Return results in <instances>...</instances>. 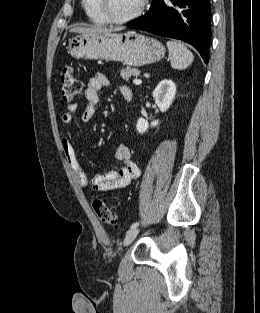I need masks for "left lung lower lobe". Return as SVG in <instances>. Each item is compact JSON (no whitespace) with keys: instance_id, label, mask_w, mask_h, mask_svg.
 Masks as SVG:
<instances>
[{"instance_id":"obj_1","label":"left lung lower lobe","mask_w":260,"mask_h":313,"mask_svg":"<svg viewBox=\"0 0 260 313\" xmlns=\"http://www.w3.org/2000/svg\"><path fill=\"white\" fill-rule=\"evenodd\" d=\"M210 0H153L149 11L129 28L144 30L193 45L209 60Z\"/></svg>"}]
</instances>
